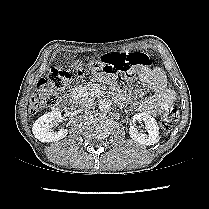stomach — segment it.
Returning <instances> with one entry per match:
<instances>
[{
  "instance_id": "stomach-1",
  "label": "stomach",
  "mask_w": 209,
  "mask_h": 209,
  "mask_svg": "<svg viewBox=\"0 0 209 209\" xmlns=\"http://www.w3.org/2000/svg\"><path fill=\"white\" fill-rule=\"evenodd\" d=\"M69 71L72 76L79 79H84L89 74V69L86 62L81 59H76L72 61L69 66Z\"/></svg>"
}]
</instances>
